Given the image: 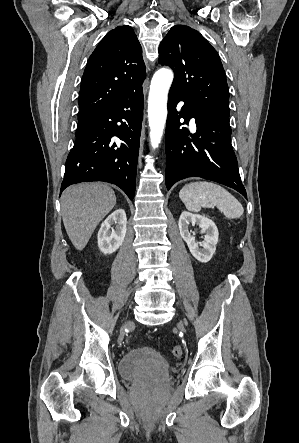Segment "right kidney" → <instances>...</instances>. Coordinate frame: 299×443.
I'll use <instances>...</instances> for the list:
<instances>
[{
  "mask_svg": "<svg viewBox=\"0 0 299 443\" xmlns=\"http://www.w3.org/2000/svg\"><path fill=\"white\" fill-rule=\"evenodd\" d=\"M114 226V227H113ZM127 226L126 213L117 209L101 224L98 232V247L104 254L115 252L123 243Z\"/></svg>",
  "mask_w": 299,
  "mask_h": 443,
  "instance_id": "ca27d5eb",
  "label": "right kidney"
}]
</instances>
